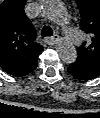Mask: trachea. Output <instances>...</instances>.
<instances>
[{
    "label": "trachea",
    "mask_w": 100,
    "mask_h": 118,
    "mask_svg": "<svg viewBox=\"0 0 100 118\" xmlns=\"http://www.w3.org/2000/svg\"><path fill=\"white\" fill-rule=\"evenodd\" d=\"M52 34H53V31H52L51 27L44 26L42 28V31H41L42 37H50V36H52Z\"/></svg>",
    "instance_id": "3493384b"
}]
</instances>
